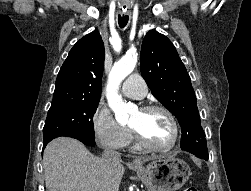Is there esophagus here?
Instances as JSON below:
<instances>
[{
    "label": "esophagus",
    "instance_id": "34e87169",
    "mask_svg": "<svg viewBox=\"0 0 251 191\" xmlns=\"http://www.w3.org/2000/svg\"><path fill=\"white\" fill-rule=\"evenodd\" d=\"M139 164V161L138 160H134L132 163H131V165H134V166H136V165H138Z\"/></svg>",
    "mask_w": 251,
    "mask_h": 191
}]
</instances>
